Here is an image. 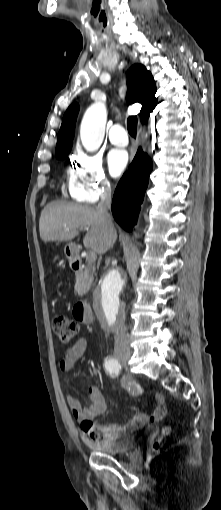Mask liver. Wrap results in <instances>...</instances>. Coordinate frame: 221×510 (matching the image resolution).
<instances>
[{
	"instance_id": "obj_1",
	"label": "liver",
	"mask_w": 221,
	"mask_h": 510,
	"mask_svg": "<svg viewBox=\"0 0 221 510\" xmlns=\"http://www.w3.org/2000/svg\"><path fill=\"white\" fill-rule=\"evenodd\" d=\"M81 227L88 229L83 239L84 247L97 254L106 253L117 239L116 230L106 228L93 207L52 201L41 212L39 231L44 242L72 240Z\"/></svg>"
}]
</instances>
